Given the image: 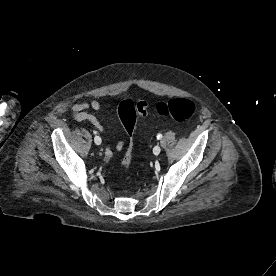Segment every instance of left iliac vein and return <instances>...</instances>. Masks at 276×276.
Masks as SVG:
<instances>
[{
    "mask_svg": "<svg viewBox=\"0 0 276 276\" xmlns=\"http://www.w3.org/2000/svg\"><path fill=\"white\" fill-rule=\"evenodd\" d=\"M160 151H161V148L158 145L153 148V153L155 155H158L160 153Z\"/></svg>",
    "mask_w": 276,
    "mask_h": 276,
    "instance_id": "left-iliac-vein-1",
    "label": "left iliac vein"
}]
</instances>
